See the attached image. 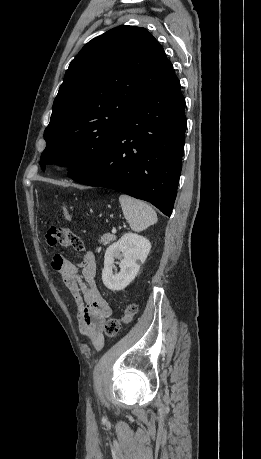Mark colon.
Instances as JSON below:
<instances>
[{"label": "colon", "instance_id": "colon-1", "mask_svg": "<svg viewBox=\"0 0 261 459\" xmlns=\"http://www.w3.org/2000/svg\"><path fill=\"white\" fill-rule=\"evenodd\" d=\"M62 216L65 220L70 219V213L66 207L61 208ZM137 312V305L134 303L128 304L124 309V314L120 318H109L104 324V333L107 337H115L123 324L129 323Z\"/></svg>", "mask_w": 261, "mask_h": 459}]
</instances>
